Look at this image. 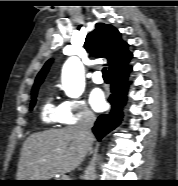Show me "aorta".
Wrapping results in <instances>:
<instances>
[{
  "instance_id": "obj_1",
  "label": "aorta",
  "mask_w": 178,
  "mask_h": 186,
  "mask_svg": "<svg viewBox=\"0 0 178 186\" xmlns=\"http://www.w3.org/2000/svg\"><path fill=\"white\" fill-rule=\"evenodd\" d=\"M62 84L67 96L78 98L82 95L84 82V67L77 57H70L62 69Z\"/></svg>"
}]
</instances>
